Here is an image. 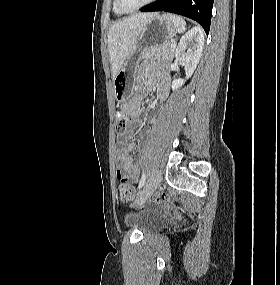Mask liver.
<instances>
[{"instance_id": "obj_1", "label": "liver", "mask_w": 280, "mask_h": 285, "mask_svg": "<svg viewBox=\"0 0 280 285\" xmlns=\"http://www.w3.org/2000/svg\"><path fill=\"white\" fill-rule=\"evenodd\" d=\"M157 13H138L116 22L108 32V50L114 79L133 51L142 29Z\"/></svg>"}]
</instances>
